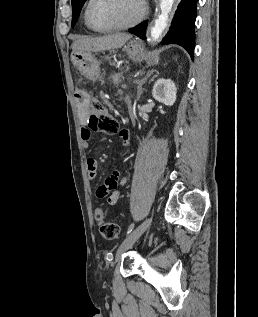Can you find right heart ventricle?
I'll return each instance as SVG.
<instances>
[{
  "mask_svg": "<svg viewBox=\"0 0 258 317\" xmlns=\"http://www.w3.org/2000/svg\"><path fill=\"white\" fill-rule=\"evenodd\" d=\"M86 25H87V27H88L89 29H92V28L88 25L87 21H86Z\"/></svg>",
  "mask_w": 258,
  "mask_h": 317,
  "instance_id": "1",
  "label": "right heart ventricle"
}]
</instances>
